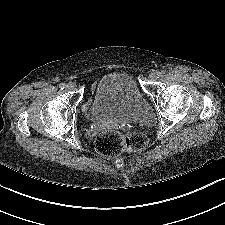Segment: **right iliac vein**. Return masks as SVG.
I'll return each mask as SVG.
<instances>
[{
    "mask_svg": "<svg viewBox=\"0 0 225 225\" xmlns=\"http://www.w3.org/2000/svg\"><path fill=\"white\" fill-rule=\"evenodd\" d=\"M74 88H75V85H74L73 83H69V84H67V86H66V89H67L68 91H72Z\"/></svg>",
    "mask_w": 225,
    "mask_h": 225,
    "instance_id": "63e3f726",
    "label": "right iliac vein"
}]
</instances>
